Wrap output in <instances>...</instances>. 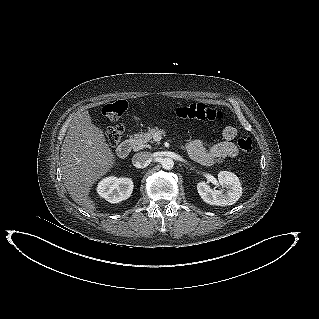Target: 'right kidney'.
Listing matches in <instances>:
<instances>
[{
	"label": "right kidney",
	"instance_id": "obj_1",
	"mask_svg": "<svg viewBox=\"0 0 319 319\" xmlns=\"http://www.w3.org/2000/svg\"><path fill=\"white\" fill-rule=\"evenodd\" d=\"M133 181L125 177L109 176L98 183L99 196L110 203L128 199L133 191Z\"/></svg>",
	"mask_w": 319,
	"mask_h": 319
}]
</instances>
